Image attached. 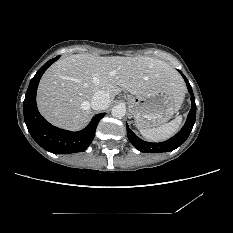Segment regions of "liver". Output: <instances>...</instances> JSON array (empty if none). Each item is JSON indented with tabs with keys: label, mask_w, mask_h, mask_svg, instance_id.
<instances>
[{
	"label": "liver",
	"mask_w": 233,
	"mask_h": 233,
	"mask_svg": "<svg viewBox=\"0 0 233 233\" xmlns=\"http://www.w3.org/2000/svg\"><path fill=\"white\" fill-rule=\"evenodd\" d=\"M122 89L133 95L166 89L179 104L185 94L181 76L162 60L75 54L58 60L44 73L37 91V105L53 125L80 130L91 117L90 101L94 93L104 91L112 102Z\"/></svg>",
	"instance_id": "1"
}]
</instances>
